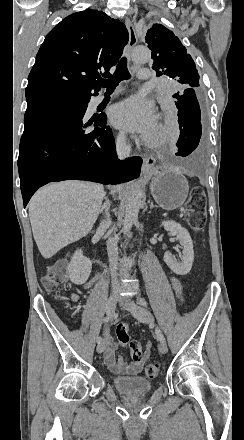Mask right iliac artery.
Masks as SVG:
<instances>
[{
	"label": "right iliac artery",
	"instance_id": "1",
	"mask_svg": "<svg viewBox=\"0 0 244 440\" xmlns=\"http://www.w3.org/2000/svg\"><path fill=\"white\" fill-rule=\"evenodd\" d=\"M110 320H111V316H110V315H107V316L104 317V319H103L104 323H108ZM97 342H98V344L102 342V337H101V336H99V337L97 338Z\"/></svg>",
	"mask_w": 244,
	"mask_h": 440
}]
</instances>
